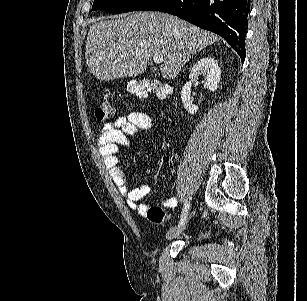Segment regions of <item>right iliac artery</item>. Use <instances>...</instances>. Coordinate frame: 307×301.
Listing matches in <instances>:
<instances>
[{
	"mask_svg": "<svg viewBox=\"0 0 307 301\" xmlns=\"http://www.w3.org/2000/svg\"><path fill=\"white\" fill-rule=\"evenodd\" d=\"M188 211H189V202L186 201L182 210L181 220L179 223L180 225H182L186 221Z\"/></svg>",
	"mask_w": 307,
	"mask_h": 301,
	"instance_id": "right-iliac-artery-1",
	"label": "right iliac artery"
}]
</instances>
